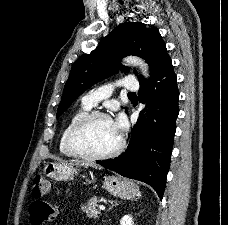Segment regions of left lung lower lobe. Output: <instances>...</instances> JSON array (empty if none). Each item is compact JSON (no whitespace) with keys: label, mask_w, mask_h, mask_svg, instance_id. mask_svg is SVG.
<instances>
[{"label":"left lung lower lobe","mask_w":228,"mask_h":225,"mask_svg":"<svg viewBox=\"0 0 228 225\" xmlns=\"http://www.w3.org/2000/svg\"><path fill=\"white\" fill-rule=\"evenodd\" d=\"M138 98L140 102H148L145 126L141 112L127 150L115 159L97 163L149 184L162 199L179 114V92L169 55L149 80L140 83Z\"/></svg>","instance_id":"0a47b994"}]
</instances>
